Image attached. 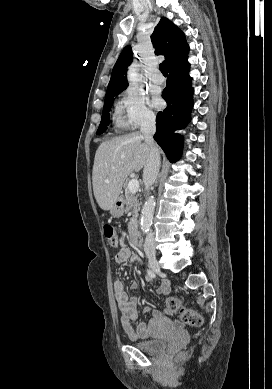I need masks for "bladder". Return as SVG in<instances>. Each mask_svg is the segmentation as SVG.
<instances>
[{
	"mask_svg": "<svg viewBox=\"0 0 272 389\" xmlns=\"http://www.w3.org/2000/svg\"><path fill=\"white\" fill-rule=\"evenodd\" d=\"M134 347L139 350L148 352V353H158L162 352L167 348V340L166 339H157L150 341H132Z\"/></svg>",
	"mask_w": 272,
	"mask_h": 389,
	"instance_id": "1",
	"label": "bladder"
}]
</instances>
